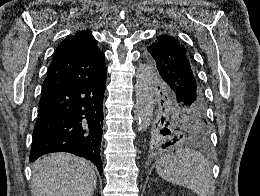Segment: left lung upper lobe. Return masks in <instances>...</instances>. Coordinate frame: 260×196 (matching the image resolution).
Returning <instances> with one entry per match:
<instances>
[{
  "instance_id": "obj_1",
  "label": "left lung upper lobe",
  "mask_w": 260,
  "mask_h": 196,
  "mask_svg": "<svg viewBox=\"0 0 260 196\" xmlns=\"http://www.w3.org/2000/svg\"><path fill=\"white\" fill-rule=\"evenodd\" d=\"M146 52L156 75L165 81L163 92L155 97L145 138L147 149L156 151L182 142L206 143L210 119L190 51L175 36L163 34Z\"/></svg>"
}]
</instances>
